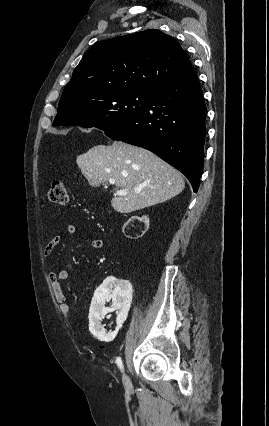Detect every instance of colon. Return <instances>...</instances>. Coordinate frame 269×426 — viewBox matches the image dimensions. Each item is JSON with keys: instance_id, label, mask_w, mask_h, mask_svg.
<instances>
[{"instance_id": "obj_1", "label": "colon", "mask_w": 269, "mask_h": 426, "mask_svg": "<svg viewBox=\"0 0 269 426\" xmlns=\"http://www.w3.org/2000/svg\"><path fill=\"white\" fill-rule=\"evenodd\" d=\"M50 201L57 205H66L68 202V191L64 182L55 181L49 190Z\"/></svg>"}]
</instances>
